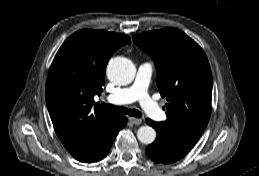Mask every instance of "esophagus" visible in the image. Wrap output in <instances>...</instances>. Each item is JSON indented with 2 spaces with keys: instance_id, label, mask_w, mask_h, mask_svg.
<instances>
[{
  "instance_id": "obj_1",
  "label": "esophagus",
  "mask_w": 259,
  "mask_h": 176,
  "mask_svg": "<svg viewBox=\"0 0 259 176\" xmlns=\"http://www.w3.org/2000/svg\"><path fill=\"white\" fill-rule=\"evenodd\" d=\"M129 121L134 125H140L142 123V120L135 117H129Z\"/></svg>"
}]
</instances>
